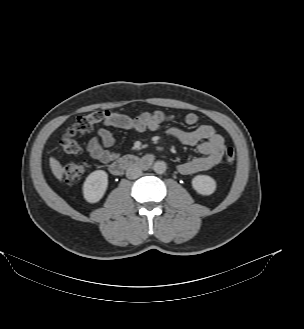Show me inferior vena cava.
Returning <instances> with one entry per match:
<instances>
[{"label":"inferior vena cava","mask_w":304,"mask_h":329,"mask_svg":"<svg viewBox=\"0 0 304 329\" xmlns=\"http://www.w3.org/2000/svg\"><path fill=\"white\" fill-rule=\"evenodd\" d=\"M141 175H142V170L138 166L133 165L126 170V176L128 179H137Z\"/></svg>","instance_id":"1"}]
</instances>
